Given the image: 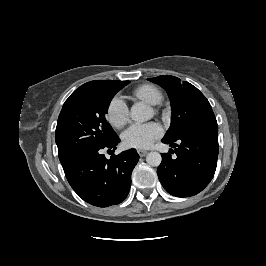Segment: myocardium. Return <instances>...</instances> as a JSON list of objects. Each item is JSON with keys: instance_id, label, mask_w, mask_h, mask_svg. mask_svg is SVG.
Segmentation results:
<instances>
[{"instance_id": "obj_1", "label": "myocardium", "mask_w": 266, "mask_h": 266, "mask_svg": "<svg viewBox=\"0 0 266 266\" xmlns=\"http://www.w3.org/2000/svg\"><path fill=\"white\" fill-rule=\"evenodd\" d=\"M158 110H159V109L156 107V108H155V111H158Z\"/></svg>"}]
</instances>
